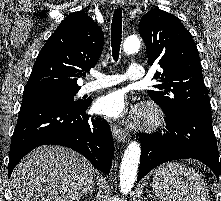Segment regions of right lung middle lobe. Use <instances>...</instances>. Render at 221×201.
Here are the masks:
<instances>
[{
	"label": "right lung middle lobe",
	"mask_w": 221,
	"mask_h": 201,
	"mask_svg": "<svg viewBox=\"0 0 221 201\" xmlns=\"http://www.w3.org/2000/svg\"><path fill=\"white\" fill-rule=\"evenodd\" d=\"M78 91L79 89H58L47 87L25 88L23 93V99L45 98L75 105H82L85 103V101L74 100V96Z\"/></svg>",
	"instance_id": "dd1d6c3e"
}]
</instances>
